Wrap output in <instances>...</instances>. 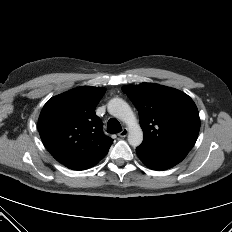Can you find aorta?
I'll list each match as a JSON object with an SVG mask.
<instances>
[{
	"mask_svg": "<svg viewBox=\"0 0 232 232\" xmlns=\"http://www.w3.org/2000/svg\"><path fill=\"white\" fill-rule=\"evenodd\" d=\"M107 110L127 125L129 144L133 147L139 146L143 141V131L128 103L121 98H113L108 102Z\"/></svg>",
	"mask_w": 232,
	"mask_h": 232,
	"instance_id": "762f6f07",
	"label": "aorta"
}]
</instances>
